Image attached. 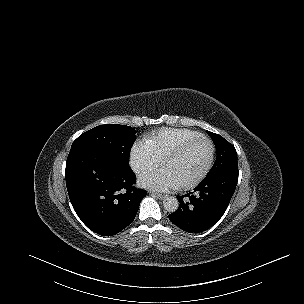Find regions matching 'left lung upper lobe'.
<instances>
[{
  "label": "left lung upper lobe",
  "instance_id": "left-lung-upper-lobe-1",
  "mask_svg": "<svg viewBox=\"0 0 304 304\" xmlns=\"http://www.w3.org/2000/svg\"><path fill=\"white\" fill-rule=\"evenodd\" d=\"M208 134L211 136L213 143L216 146L217 158L205 178L214 176L231 168H238L237 152L235 147L218 134L210 131H208Z\"/></svg>",
  "mask_w": 304,
  "mask_h": 304
}]
</instances>
